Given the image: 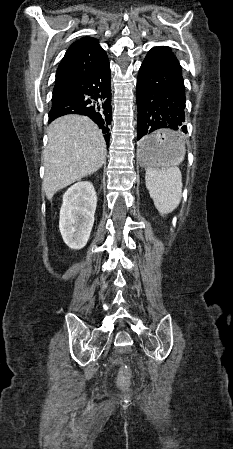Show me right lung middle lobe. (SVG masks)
<instances>
[{"mask_svg":"<svg viewBox=\"0 0 233 449\" xmlns=\"http://www.w3.org/2000/svg\"><path fill=\"white\" fill-rule=\"evenodd\" d=\"M66 95H67V92L64 89L54 90L53 91L52 101L59 100V99L63 98Z\"/></svg>","mask_w":233,"mask_h":449,"instance_id":"1","label":"right lung middle lobe"}]
</instances>
